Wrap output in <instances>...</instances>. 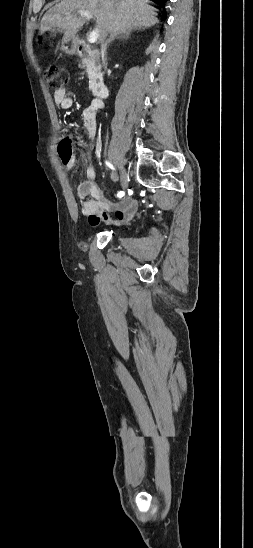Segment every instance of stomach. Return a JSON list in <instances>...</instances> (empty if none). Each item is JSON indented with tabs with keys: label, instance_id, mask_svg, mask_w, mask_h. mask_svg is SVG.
Returning a JSON list of instances; mask_svg holds the SVG:
<instances>
[{
	"label": "stomach",
	"instance_id": "1",
	"mask_svg": "<svg viewBox=\"0 0 253 548\" xmlns=\"http://www.w3.org/2000/svg\"><path fill=\"white\" fill-rule=\"evenodd\" d=\"M57 31H59V30H57V29L48 30V32L44 35V40L46 42L49 41L51 38H53L56 35ZM60 49L64 53H67V54H70V55L75 54L76 50H77V45H76L74 37L64 34V36L62 38V41H61Z\"/></svg>",
	"mask_w": 253,
	"mask_h": 548
}]
</instances>
